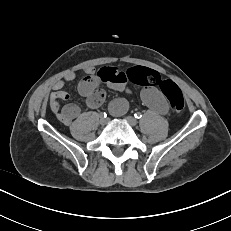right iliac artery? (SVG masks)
<instances>
[{"mask_svg":"<svg viewBox=\"0 0 231 231\" xmlns=\"http://www.w3.org/2000/svg\"><path fill=\"white\" fill-rule=\"evenodd\" d=\"M100 116L105 118V117H107V114L105 112H103V113L100 114Z\"/></svg>","mask_w":231,"mask_h":231,"instance_id":"right-iliac-artery-1","label":"right iliac artery"}]
</instances>
